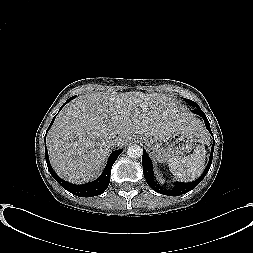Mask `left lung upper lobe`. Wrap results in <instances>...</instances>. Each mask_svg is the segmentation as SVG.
Returning <instances> with one entry per match:
<instances>
[{
  "mask_svg": "<svg viewBox=\"0 0 253 253\" xmlns=\"http://www.w3.org/2000/svg\"><path fill=\"white\" fill-rule=\"evenodd\" d=\"M185 101L190 105V103H193V101L189 100V99H185ZM195 103V102H194Z\"/></svg>",
  "mask_w": 253,
  "mask_h": 253,
  "instance_id": "1",
  "label": "left lung upper lobe"
}]
</instances>
